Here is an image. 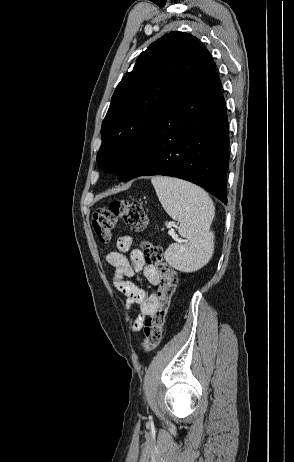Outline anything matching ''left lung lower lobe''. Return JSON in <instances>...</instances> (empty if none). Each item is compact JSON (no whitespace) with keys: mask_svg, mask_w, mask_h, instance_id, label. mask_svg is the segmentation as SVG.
<instances>
[{"mask_svg":"<svg viewBox=\"0 0 294 462\" xmlns=\"http://www.w3.org/2000/svg\"><path fill=\"white\" fill-rule=\"evenodd\" d=\"M220 88L213 71L182 90L125 159L118 180L150 175L178 177L227 204L229 135Z\"/></svg>","mask_w":294,"mask_h":462,"instance_id":"left-lung-lower-lobe-1","label":"left lung lower lobe"}]
</instances>
